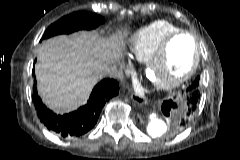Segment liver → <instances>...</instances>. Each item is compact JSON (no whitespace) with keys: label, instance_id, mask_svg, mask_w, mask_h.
I'll return each instance as SVG.
<instances>
[{"label":"liver","instance_id":"6515ba94","mask_svg":"<svg viewBox=\"0 0 240 160\" xmlns=\"http://www.w3.org/2000/svg\"><path fill=\"white\" fill-rule=\"evenodd\" d=\"M116 36L79 32L41 43L35 66L38 93L55 112H70L84 104L105 66L120 58Z\"/></svg>","mask_w":240,"mask_h":160}]
</instances>
